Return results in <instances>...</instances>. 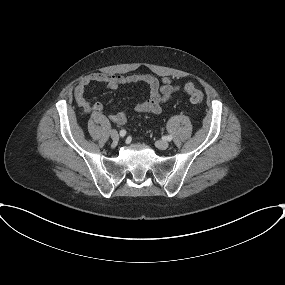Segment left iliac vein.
<instances>
[{"label": "left iliac vein", "instance_id": "4c4485c4", "mask_svg": "<svg viewBox=\"0 0 285 285\" xmlns=\"http://www.w3.org/2000/svg\"><path fill=\"white\" fill-rule=\"evenodd\" d=\"M169 146V143L165 140H160L156 142V147L161 149V150H165L167 149Z\"/></svg>", "mask_w": 285, "mask_h": 285}]
</instances>
